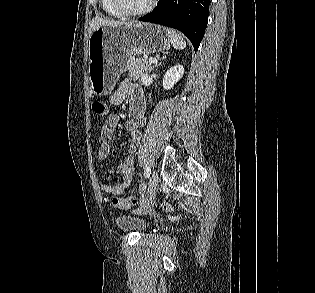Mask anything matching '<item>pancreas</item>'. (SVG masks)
<instances>
[{
  "instance_id": "1",
  "label": "pancreas",
  "mask_w": 315,
  "mask_h": 293,
  "mask_svg": "<svg viewBox=\"0 0 315 293\" xmlns=\"http://www.w3.org/2000/svg\"><path fill=\"white\" fill-rule=\"evenodd\" d=\"M151 64L146 59L129 57L127 61V69L129 77L134 80L139 79L147 72Z\"/></svg>"
}]
</instances>
